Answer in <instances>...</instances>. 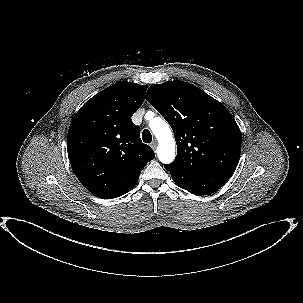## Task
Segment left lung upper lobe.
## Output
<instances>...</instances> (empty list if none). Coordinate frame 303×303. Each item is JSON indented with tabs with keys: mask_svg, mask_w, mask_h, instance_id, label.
<instances>
[{
	"mask_svg": "<svg viewBox=\"0 0 303 303\" xmlns=\"http://www.w3.org/2000/svg\"><path fill=\"white\" fill-rule=\"evenodd\" d=\"M146 99L173 129L177 156L169 167L188 173L235 171L241 131L219 101L178 80L150 86Z\"/></svg>",
	"mask_w": 303,
	"mask_h": 303,
	"instance_id": "left-lung-upper-lobe-1",
	"label": "left lung upper lobe"
}]
</instances>
